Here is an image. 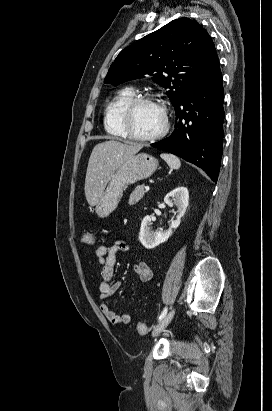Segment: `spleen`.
<instances>
[{
  "label": "spleen",
  "instance_id": "1",
  "mask_svg": "<svg viewBox=\"0 0 272 411\" xmlns=\"http://www.w3.org/2000/svg\"><path fill=\"white\" fill-rule=\"evenodd\" d=\"M161 158L166 161V163L170 166L172 169H179L181 166V161L180 159L172 154H167V153H162Z\"/></svg>",
  "mask_w": 272,
  "mask_h": 411
}]
</instances>
